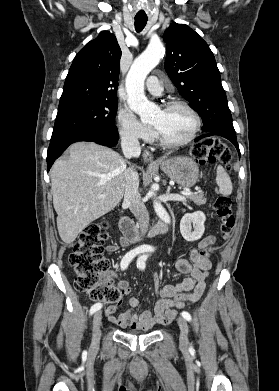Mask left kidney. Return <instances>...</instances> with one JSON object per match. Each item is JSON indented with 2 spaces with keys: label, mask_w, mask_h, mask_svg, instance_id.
Instances as JSON below:
<instances>
[{
  "label": "left kidney",
  "mask_w": 279,
  "mask_h": 391,
  "mask_svg": "<svg viewBox=\"0 0 279 391\" xmlns=\"http://www.w3.org/2000/svg\"><path fill=\"white\" fill-rule=\"evenodd\" d=\"M205 221L206 217L201 211L185 214L180 222V232L183 238L189 242L199 240L205 231ZM191 224H193V230Z\"/></svg>",
  "instance_id": "left-kidney-1"
}]
</instances>
